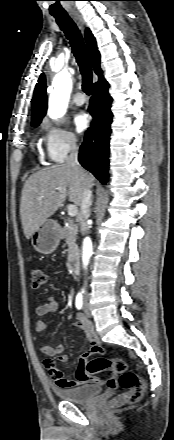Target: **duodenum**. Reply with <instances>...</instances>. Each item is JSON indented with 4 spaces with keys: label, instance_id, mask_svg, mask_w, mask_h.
Segmentation results:
<instances>
[{
    "label": "duodenum",
    "instance_id": "1",
    "mask_svg": "<svg viewBox=\"0 0 174 440\" xmlns=\"http://www.w3.org/2000/svg\"><path fill=\"white\" fill-rule=\"evenodd\" d=\"M68 267L72 273L78 274L80 270V264L78 258L75 256L71 257L68 262Z\"/></svg>",
    "mask_w": 174,
    "mask_h": 440
}]
</instances>
